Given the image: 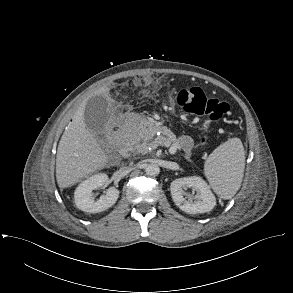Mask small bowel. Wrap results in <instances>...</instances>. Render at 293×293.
Returning <instances> with one entry per match:
<instances>
[{
	"instance_id": "obj_1",
	"label": "small bowel",
	"mask_w": 293,
	"mask_h": 293,
	"mask_svg": "<svg viewBox=\"0 0 293 293\" xmlns=\"http://www.w3.org/2000/svg\"><path fill=\"white\" fill-rule=\"evenodd\" d=\"M179 145L183 150L187 151L192 147V140L189 136H182L179 139Z\"/></svg>"
}]
</instances>
